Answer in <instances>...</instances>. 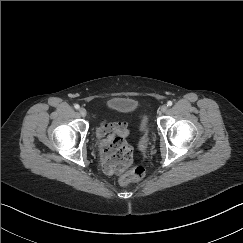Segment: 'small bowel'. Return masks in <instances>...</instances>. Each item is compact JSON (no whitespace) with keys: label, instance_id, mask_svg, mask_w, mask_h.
<instances>
[{"label":"small bowel","instance_id":"1","mask_svg":"<svg viewBox=\"0 0 243 243\" xmlns=\"http://www.w3.org/2000/svg\"><path fill=\"white\" fill-rule=\"evenodd\" d=\"M100 139V163L107 175L120 176L126 163L131 162V147L126 139L129 130L125 122H104L96 130Z\"/></svg>","mask_w":243,"mask_h":243}]
</instances>
